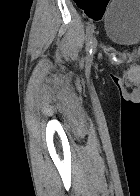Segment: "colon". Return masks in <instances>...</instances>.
Listing matches in <instances>:
<instances>
[{
    "instance_id": "5ec220e1",
    "label": "colon",
    "mask_w": 140,
    "mask_h": 196,
    "mask_svg": "<svg viewBox=\"0 0 140 196\" xmlns=\"http://www.w3.org/2000/svg\"><path fill=\"white\" fill-rule=\"evenodd\" d=\"M77 4H80L82 3L83 1L82 0H74Z\"/></svg>"
}]
</instances>
